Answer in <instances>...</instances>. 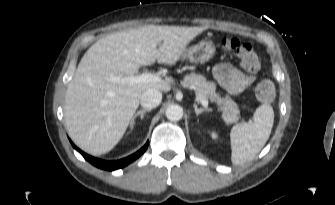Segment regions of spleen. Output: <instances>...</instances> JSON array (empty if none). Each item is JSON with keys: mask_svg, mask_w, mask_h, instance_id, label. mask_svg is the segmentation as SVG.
<instances>
[{"mask_svg": "<svg viewBox=\"0 0 335 205\" xmlns=\"http://www.w3.org/2000/svg\"><path fill=\"white\" fill-rule=\"evenodd\" d=\"M274 122V111L271 105L263 104L254 112L250 122H242L232 127L231 161L235 165L252 160L264 147Z\"/></svg>", "mask_w": 335, "mask_h": 205, "instance_id": "3e777b00", "label": "spleen"}]
</instances>
